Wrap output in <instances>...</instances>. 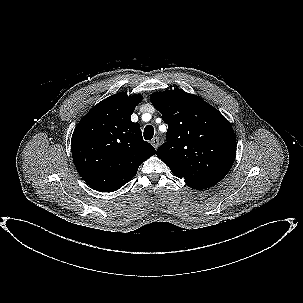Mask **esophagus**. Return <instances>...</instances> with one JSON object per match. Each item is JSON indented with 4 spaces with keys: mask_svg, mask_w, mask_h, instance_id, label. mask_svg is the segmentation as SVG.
<instances>
[{
    "mask_svg": "<svg viewBox=\"0 0 303 303\" xmlns=\"http://www.w3.org/2000/svg\"><path fill=\"white\" fill-rule=\"evenodd\" d=\"M151 144H152V146L156 149V148L159 146V138H158V137H154V138L151 140Z\"/></svg>",
    "mask_w": 303,
    "mask_h": 303,
    "instance_id": "1",
    "label": "esophagus"
}]
</instances>
